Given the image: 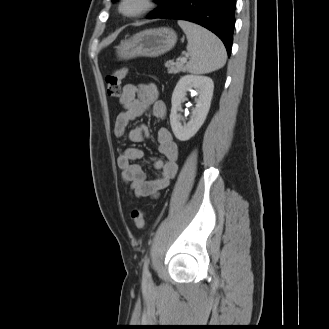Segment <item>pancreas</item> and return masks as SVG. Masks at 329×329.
Instances as JSON below:
<instances>
[{
  "label": "pancreas",
  "instance_id": "cf45deb5",
  "mask_svg": "<svg viewBox=\"0 0 329 329\" xmlns=\"http://www.w3.org/2000/svg\"><path fill=\"white\" fill-rule=\"evenodd\" d=\"M165 67L168 69V73H170V74H176V73L185 71V66H184V63H182V62L174 63V62L168 61L165 63Z\"/></svg>",
  "mask_w": 329,
  "mask_h": 329
}]
</instances>
